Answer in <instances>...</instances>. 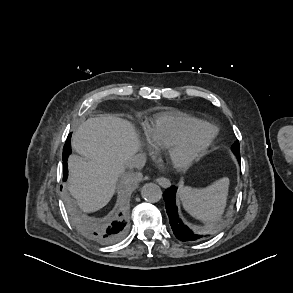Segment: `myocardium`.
Wrapping results in <instances>:
<instances>
[{
    "label": "myocardium",
    "instance_id": "obj_1",
    "mask_svg": "<svg viewBox=\"0 0 293 293\" xmlns=\"http://www.w3.org/2000/svg\"><path fill=\"white\" fill-rule=\"evenodd\" d=\"M201 128L207 129L208 134L201 141L194 142L193 134ZM217 135L218 130L214 125L199 121L189 126L177 142L163 149L165 159L176 169H187L206 152Z\"/></svg>",
    "mask_w": 293,
    "mask_h": 293
}]
</instances>
